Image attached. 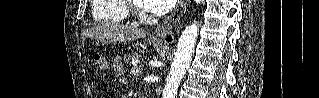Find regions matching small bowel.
Masks as SVG:
<instances>
[{
	"label": "small bowel",
	"mask_w": 319,
	"mask_h": 98,
	"mask_svg": "<svg viewBox=\"0 0 319 98\" xmlns=\"http://www.w3.org/2000/svg\"><path fill=\"white\" fill-rule=\"evenodd\" d=\"M116 71H117V75H118L119 80L121 82H125V78H124V74H123L122 69L117 68Z\"/></svg>",
	"instance_id": "1"
}]
</instances>
